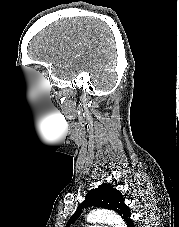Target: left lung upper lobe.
I'll use <instances>...</instances> for the list:
<instances>
[{
    "label": "left lung upper lobe",
    "instance_id": "left-lung-upper-lobe-1",
    "mask_svg": "<svg viewBox=\"0 0 179 227\" xmlns=\"http://www.w3.org/2000/svg\"><path fill=\"white\" fill-rule=\"evenodd\" d=\"M90 206L113 210L123 218L127 225L133 223L130 219V210L124 203V198L121 192L113 188L110 184H102L98 188L91 189L87 193L85 200L78 206L76 212L68 220L66 227L70 226L77 220L82 209Z\"/></svg>",
    "mask_w": 179,
    "mask_h": 227
}]
</instances>
